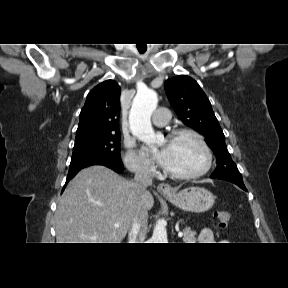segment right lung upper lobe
Listing matches in <instances>:
<instances>
[{
  "instance_id": "obj_1",
  "label": "right lung upper lobe",
  "mask_w": 288,
  "mask_h": 288,
  "mask_svg": "<svg viewBox=\"0 0 288 288\" xmlns=\"http://www.w3.org/2000/svg\"><path fill=\"white\" fill-rule=\"evenodd\" d=\"M120 87L113 80H107L87 95L80 113L75 141L119 133Z\"/></svg>"
}]
</instances>
